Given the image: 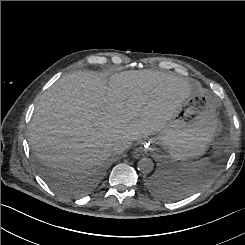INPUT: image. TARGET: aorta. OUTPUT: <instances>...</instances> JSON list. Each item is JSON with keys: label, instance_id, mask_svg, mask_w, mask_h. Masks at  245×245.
<instances>
[{"label": "aorta", "instance_id": "obj_1", "mask_svg": "<svg viewBox=\"0 0 245 245\" xmlns=\"http://www.w3.org/2000/svg\"><path fill=\"white\" fill-rule=\"evenodd\" d=\"M137 167L141 173L148 174V173L152 172V170L154 168V163H153L152 159H150L148 157H144L138 161Z\"/></svg>", "mask_w": 245, "mask_h": 245}]
</instances>
